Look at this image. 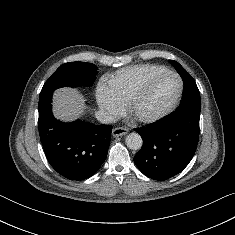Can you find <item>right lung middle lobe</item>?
Listing matches in <instances>:
<instances>
[{"instance_id": "obj_1", "label": "right lung middle lobe", "mask_w": 235, "mask_h": 235, "mask_svg": "<svg viewBox=\"0 0 235 235\" xmlns=\"http://www.w3.org/2000/svg\"><path fill=\"white\" fill-rule=\"evenodd\" d=\"M97 73V67L92 63H65L45 82L40 92V97L53 93L55 89L64 86L78 87L92 85Z\"/></svg>"}]
</instances>
